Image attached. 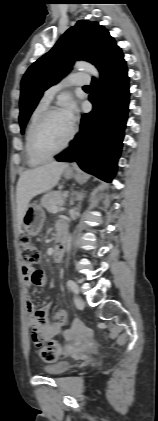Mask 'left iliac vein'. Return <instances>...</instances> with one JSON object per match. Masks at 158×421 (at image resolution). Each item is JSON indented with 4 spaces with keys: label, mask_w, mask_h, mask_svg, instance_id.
Returning a JSON list of instances; mask_svg holds the SVG:
<instances>
[{
    "label": "left iliac vein",
    "mask_w": 158,
    "mask_h": 421,
    "mask_svg": "<svg viewBox=\"0 0 158 421\" xmlns=\"http://www.w3.org/2000/svg\"><path fill=\"white\" fill-rule=\"evenodd\" d=\"M74 303L78 308H83L85 303L80 297H74Z\"/></svg>",
    "instance_id": "4c4485c4"
}]
</instances>
